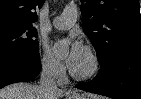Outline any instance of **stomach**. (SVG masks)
Listing matches in <instances>:
<instances>
[{"label":"stomach","mask_w":141,"mask_h":99,"mask_svg":"<svg viewBox=\"0 0 141 99\" xmlns=\"http://www.w3.org/2000/svg\"><path fill=\"white\" fill-rule=\"evenodd\" d=\"M73 99H85V98H81V97H73Z\"/></svg>","instance_id":"1"}]
</instances>
